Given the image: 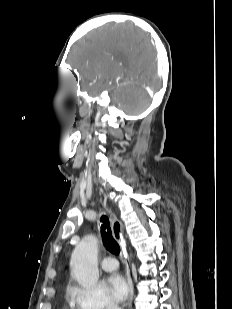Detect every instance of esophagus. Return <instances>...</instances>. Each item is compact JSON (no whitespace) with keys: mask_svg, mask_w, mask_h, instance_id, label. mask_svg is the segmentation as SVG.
Returning <instances> with one entry per match:
<instances>
[{"mask_svg":"<svg viewBox=\"0 0 232 309\" xmlns=\"http://www.w3.org/2000/svg\"><path fill=\"white\" fill-rule=\"evenodd\" d=\"M111 226H112L113 236L119 242V244L121 246L123 259H124V262H125L126 278H127V282L129 284V289H130V294H129L127 305H128V307H131L133 297H134V286H133V282H132V278H131V270H130L129 258H128L127 250H126V243H125V240H124L123 225L118 219L113 218Z\"/></svg>","mask_w":232,"mask_h":309,"instance_id":"34e87169","label":"esophagus"}]
</instances>
